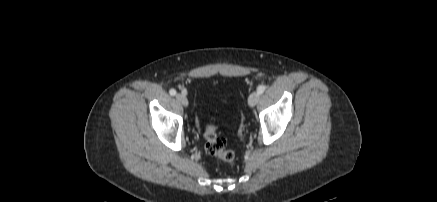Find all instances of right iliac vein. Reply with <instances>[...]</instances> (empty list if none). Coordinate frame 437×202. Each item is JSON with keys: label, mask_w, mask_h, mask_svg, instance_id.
<instances>
[{"label": "right iliac vein", "mask_w": 437, "mask_h": 202, "mask_svg": "<svg viewBox=\"0 0 437 202\" xmlns=\"http://www.w3.org/2000/svg\"><path fill=\"white\" fill-rule=\"evenodd\" d=\"M176 99L180 102L184 107L188 106V99L184 93H178L176 95Z\"/></svg>", "instance_id": "63e3f726"}]
</instances>
